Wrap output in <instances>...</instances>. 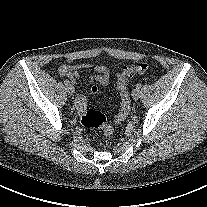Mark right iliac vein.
I'll return each mask as SVG.
<instances>
[{
  "label": "right iliac vein",
  "instance_id": "1",
  "mask_svg": "<svg viewBox=\"0 0 207 207\" xmlns=\"http://www.w3.org/2000/svg\"><path fill=\"white\" fill-rule=\"evenodd\" d=\"M67 91L70 95H73L75 93V88L70 84L67 86Z\"/></svg>",
  "mask_w": 207,
  "mask_h": 207
}]
</instances>
